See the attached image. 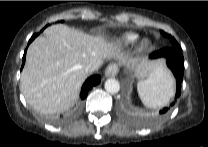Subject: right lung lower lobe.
Segmentation results:
<instances>
[{
  "label": "right lung lower lobe",
  "instance_id": "right-lung-lower-lobe-1",
  "mask_svg": "<svg viewBox=\"0 0 208 147\" xmlns=\"http://www.w3.org/2000/svg\"><path fill=\"white\" fill-rule=\"evenodd\" d=\"M38 34H34L31 39L29 40L28 42V45L34 40L35 37H37ZM25 57H26V50L24 52V55H23V59H22V67L23 65L25 64ZM101 81V77L99 75H94V76H91L90 78H88L85 83L83 84L82 86V89H81V93H80V97L81 99H84L86 96H87V93L88 91L94 86V85H97L99 84Z\"/></svg>",
  "mask_w": 208,
  "mask_h": 147
}]
</instances>
